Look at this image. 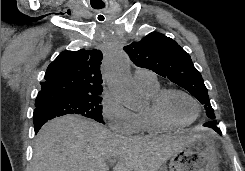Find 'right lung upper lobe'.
<instances>
[{"label": "right lung upper lobe", "mask_w": 245, "mask_h": 171, "mask_svg": "<svg viewBox=\"0 0 245 171\" xmlns=\"http://www.w3.org/2000/svg\"><path fill=\"white\" fill-rule=\"evenodd\" d=\"M100 50L63 51L47 68L35 105L48 97L99 95L103 91Z\"/></svg>", "instance_id": "1"}]
</instances>
